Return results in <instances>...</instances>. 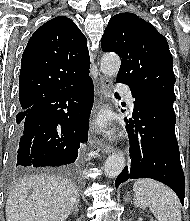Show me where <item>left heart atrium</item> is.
Listing matches in <instances>:
<instances>
[{
    "instance_id": "1",
    "label": "left heart atrium",
    "mask_w": 190,
    "mask_h": 221,
    "mask_svg": "<svg viewBox=\"0 0 190 221\" xmlns=\"http://www.w3.org/2000/svg\"><path fill=\"white\" fill-rule=\"evenodd\" d=\"M97 125L99 128H106L108 125V118L105 115H102L97 120Z\"/></svg>"
}]
</instances>
